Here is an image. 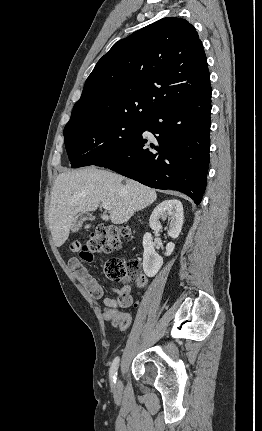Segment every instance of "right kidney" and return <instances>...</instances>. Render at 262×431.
<instances>
[{
	"label": "right kidney",
	"mask_w": 262,
	"mask_h": 431,
	"mask_svg": "<svg viewBox=\"0 0 262 431\" xmlns=\"http://www.w3.org/2000/svg\"><path fill=\"white\" fill-rule=\"evenodd\" d=\"M183 218L182 203L177 199L165 200L153 210L149 219V225L152 230L160 231L162 229L161 221L168 219L170 222L168 235L175 239L181 232ZM143 248V270L148 277H154L163 265V258L155 252L150 233H146L143 237ZM174 248V243H168L166 246V255L170 256Z\"/></svg>",
	"instance_id": "right-kidney-1"
}]
</instances>
